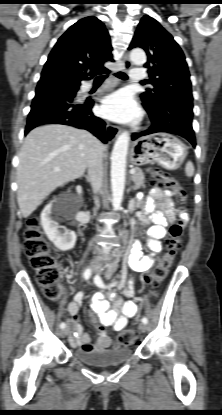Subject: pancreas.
Here are the masks:
<instances>
[{"label":"pancreas","instance_id":"cf45deb5","mask_svg":"<svg viewBox=\"0 0 222 415\" xmlns=\"http://www.w3.org/2000/svg\"><path fill=\"white\" fill-rule=\"evenodd\" d=\"M134 170H135V173H134V174H132V176H131V178H132V180H133V182H134V186H133V188H134V189H139V188H141L142 186H144L145 174H144V172H143L140 168H138V167L134 168Z\"/></svg>","mask_w":222,"mask_h":415}]
</instances>
